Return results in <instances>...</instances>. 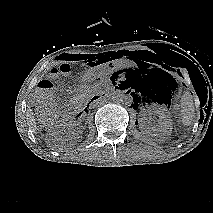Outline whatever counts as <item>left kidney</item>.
<instances>
[{"label": "left kidney", "mask_w": 213, "mask_h": 213, "mask_svg": "<svg viewBox=\"0 0 213 213\" xmlns=\"http://www.w3.org/2000/svg\"><path fill=\"white\" fill-rule=\"evenodd\" d=\"M148 112H152L157 115L159 120L157 123H152L146 117H141L140 126L144 133L161 138L169 136L172 130V119L167 108L156 107L153 111Z\"/></svg>", "instance_id": "left-kidney-1"}]
</instances>
